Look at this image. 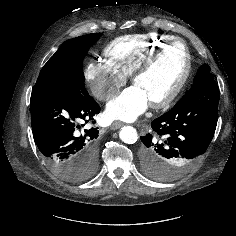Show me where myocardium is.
<instances>
[{
  "mask_svg": "<svg viewBox=\"0 0 236 236\" xmlns=\"http://www.w3.org/2000/svg\"><path fill=\"white\" fill-rule=\"evenodd\" d=\"M176 44H179L183 47L184 71L182 73V76L176 83V85L171 89V91L167 95H165L161 99L150 102V105L153 108H163L168 106L176 99V97L180 94V92L186 85L191 73V56L186 43L181 39L175 38L160 45L153 52H151L142 62H140L131 72V81L135 83V81L140 75L145 73L148 69H150L153 66V64L157 61V59L164 51H166L167 49Z\"/></svg>",
  "mask_w": 236,
  "mask_h": 236,
  "instance_id": "f54148a6",
  "label": "myocardium"
}]
</instances>
